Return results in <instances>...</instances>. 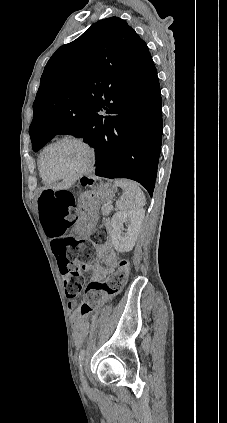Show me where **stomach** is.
Instances as JSON below:
<instances>
[{
	"instance_id": "0dacf381",
	"label": "stomach",
	"mask_w": 227,
	"mask_h": 423,
	"mask_svg": "<svg viewBox=\"0 0 227 423\" xmlns=\"http://www.w3.org/2000/svg\"><path fill=\"white\" fill-rule=\"evenodd\" d=\"M116 188L115 186H111V184H101V186H97L95 190H90V192H85L83 194V200L86 202H92V204H106V202H110L113 196H115Z\"/></svg>"
}]
</instances>
